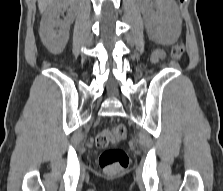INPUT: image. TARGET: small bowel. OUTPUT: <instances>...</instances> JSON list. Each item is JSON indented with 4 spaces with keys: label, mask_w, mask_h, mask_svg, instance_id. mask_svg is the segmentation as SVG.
Returning <instances> with one entry per match:
<instances>
[{
    "label": "small bowel",
    "mask_w": 223,
    "mask_h": 191,
    "mask_svg": "<svg viewBox=\"0 0 223 191\" xmlns=\"http://www.w3.org/2000/svg\"><path fill=\"white\" fill-rule=\"evenodd\" d=\"M163 56V51L160 49H157L154 51L153 55H152V59L153 61L157 62L159 61Z\"/></svg>",
    "instance_id": "1"
}]
</instances>
